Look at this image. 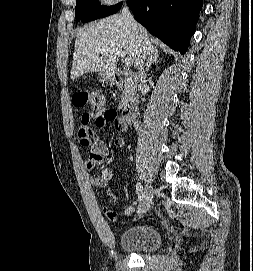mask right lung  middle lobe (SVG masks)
I'll return each instance as SVG.
<instances>
[{
    "instance_id": "right-lung-middle-lobe-1",
    "label": "right lung middle lobe",
    "mask_w": 253,
    "mask_h": 271,
    "mask_svg": "<svg viewBox=\"0 0 253 271\" xmlns=\"http://www.w3.org/2000/svg\"><path fill=\"white\" fill-rule=\"evenodd\" d=\"M122 2L114 6L100 5L98 0H76L75 18L76 21L89 22L103 18L119 11Z\"/></svg>"
}]
</instances>
